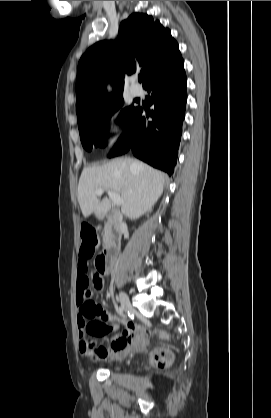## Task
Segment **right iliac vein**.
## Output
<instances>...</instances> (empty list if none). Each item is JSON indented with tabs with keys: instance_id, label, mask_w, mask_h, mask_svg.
I'll use <instances>...</instances> for the list:
<instances>
[{
	"instance_id": "1",
	"label": "right iliac vein",
	"mask_w": 271,
	"mask_h": 418,
	"mask_svg": "<svg viewBox=\"0 0 271 418\" xmlns=\"http://www.w3.org/2000/svg\"><path fill=\"white\" fill-rule=\"evenodd\" d=\"M119 298H120V302L123 306V308L125 309V311H130L132 310V305L130 303V300L127 296V294L125 292H120L119 293Z\"/></svg>"
}]
</instances>
